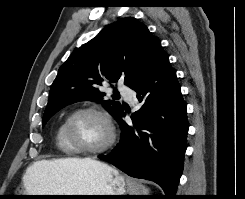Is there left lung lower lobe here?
<instances>
[{"label": "left lung lower lobe", "instance_id": "obj_1", "mask_svg": "<svg viewBox=\"0 0 245 199\" xmlns=\"http://www.w3.org/2000/svg\"><path fill=\"white\" fill-rule=\"evenodd\" d=\"M130 88L143 105L131 115V124L123 120L122 109L116 118L122 130L120 142L112 153L99 158L132 177L156 182L166 199H172L183 170L189 125L176 71L163 49Z\"/></svg>", "mask_w": 245, "mask_h": 199}]
</instances>
